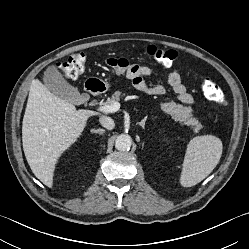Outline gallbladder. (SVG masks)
Segmentation results:
<instances>
[{
    "label": "gallbladder",
    "mask_w": 249,
    "mask_h": 249,
    "mask_svg": "<svg viewBox=\"0 0 249 249\" xmlns=\"http://www.w3.org/2000/svg\"><path fill=\"white\" fill-rule=\"evenodd\" d=\"M45 86L56 96L79 105L83 102V96L77 88L70 85L55 65H50L43 75Z\"/></svg>",
    "instance_id": "bac80fb5"
}]
</instances>
